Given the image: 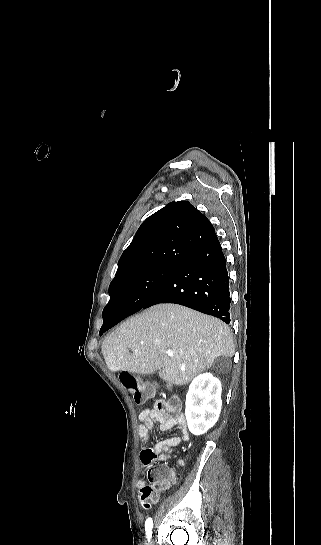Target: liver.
I'll list each match as a JSON object with an SVG mask.
<instances>
[{"mask_svg":"<svg viewBox=\"0 0 321 545\" xmlns=\"http://www.w3.org/2000/svg\"><path fill=\"white\" fill-rule=\"evenodd\" d=\"M166 351H173L172 357ZM102 353L112 373L158 371L167 383L187 385L217 357H233L235 345L230 327L220 319L168 303L122 323L103 341Z\"/></svg>","mask_w":321,"mask_h":545,"instance_id":"1","label":"liver"}]
</instances>
